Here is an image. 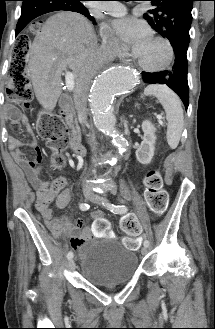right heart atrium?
Masks as SVG:
<instances>
[{
	"mask_svg": "<svg viewBox=\"0 0 215 329\" xmlns=\"http://www.w3.org/2000/svg\"><path fill=\"white\" fill-rule=\"evenodd\" d=\"M100 32H101V36H102L103 41L107 45L115 48L117 50L118 54H122V50H121V48H120L117 40L115 39V37L113 35V32L110 29V27L107 26V25H103L101 27V31Z\"/></svg>",
	"mask_w": 215,
	"mask_h": 329,
	"instance_id": "1",
	"label": "right heart atrium"
}]
</instances>
